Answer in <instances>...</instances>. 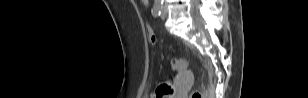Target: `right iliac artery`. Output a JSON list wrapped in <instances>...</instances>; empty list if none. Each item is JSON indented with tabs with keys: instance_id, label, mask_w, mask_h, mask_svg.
Segmentation results:
<instances>
[{
	"instance_id": "right-iliac-artery-1",
	"label": "right iliac artery",
	"mask_w": 308,
	"mask_h": 98,
	"mask_svg": "<svg viewBox=\"0 0 308 98\" xmlns=\"http://www.w3.org/2000/svg\"><path fill=\"white\" fill-rule=\"evenodd\" d=\"M161 8H162V4L161 3H155L153 8H152V15L154 17L160 16Z\"/></svg>"
}]
</instances>
